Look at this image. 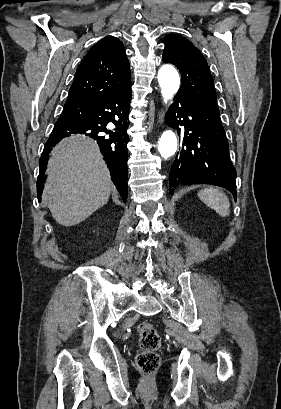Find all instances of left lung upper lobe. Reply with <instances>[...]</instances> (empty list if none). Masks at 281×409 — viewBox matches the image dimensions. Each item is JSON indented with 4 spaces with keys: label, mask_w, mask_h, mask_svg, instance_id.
Here are the masks:
<instances>
[{
    "label": "left lung upper lobe",
    "mask_w": 281,
    "mask_h": 409,
    "mask_svg": "<svg viewBox=\"0 0 281 409\" xmlns=\"http://www.w3.org/2000/svg\"><path fill=\"white\" fill-rule=\"evenodd\" d=\"M164 43L163 62L174 64L181 72L182 84L177 94L219 114L213 78L201 52L179 35H168Z\"/></svg>",
    "instance_id": "5c2ea615"
}]
</instances>
